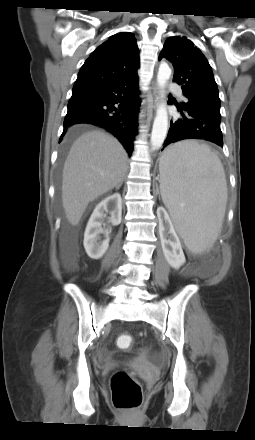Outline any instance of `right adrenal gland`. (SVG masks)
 <instances>
[{
	"label": "right adrenal gland",
	"mask_w": 255,
	"mask_h": 440,
	"mask_svg": "<svg viewBox=\"0 0 255 440\" xmlns=\"http://www.w3.org/2000/svg\"><path fill=\"white\" fill-rule=\"evenodd\" d=\"M122 184H123V180L115 187L116 188V190H119L120 189V187L122 186Z\"/></svg>",
	"instance_id": "obj_1"
}]
</instances>
